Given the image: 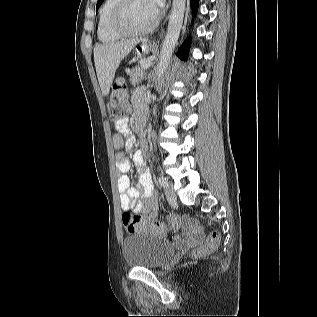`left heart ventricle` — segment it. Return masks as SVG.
Wrapping results in <instances>:
<instances>
[{"instance_id": "obj_1", "label": "left heart ventricle", "mask_w": 317, "mask_h": 317, "mask_svg": "<svg viewBox=\"0 0 317 317\" xmlns=\"http://www.w3.org/2000/svg\"><path fill=\"white\" fill-rule=\"evenodd\" d=\"M157 12L150 0H131L125 13L124 22L131 29L138 30L148 26Z\"/></svg>"}]
</instances>
